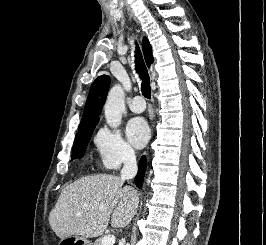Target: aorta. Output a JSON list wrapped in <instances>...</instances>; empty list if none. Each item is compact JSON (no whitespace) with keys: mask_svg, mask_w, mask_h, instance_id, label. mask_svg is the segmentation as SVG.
<instances>
[{"mask_svg":"<svg viewBox=\"0 0 266 245\" xmlns=\"http://www.w3.org/2000/svg\"><path fill=\"white\" fill-rule=\"evenodd\" d=\"M125 92L121 84H114L108 92L106 102L104 104V112L106 123L112 129H116L121 125L123 110H125Z\"/></svg>","mask_w":266,"mask_h":245,"instance_id":"1","label":"aorta"}]
</instances>
